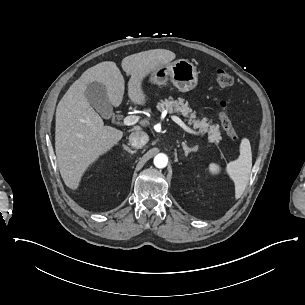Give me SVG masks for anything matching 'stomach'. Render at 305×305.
Segmentation results:
<instances>
[{
  "label": "stomach",
  "instance_id": "obj_1",
  "mask_svg": "<svg viewBox=\"0 0 305 305\" xmlns=\"http://www.w3.org/2000/svg\"><path fill=\"white\" fill-rule=\"evenodd\" d=\"M170 76L173 85L182 92H189L198 86V73L196 67L189 60L179 59L167 67H162L153 73V80L163 84Z\"/></svg>",
  "mask_w": 305,
  "mask_h": 305
}]
</instances>
